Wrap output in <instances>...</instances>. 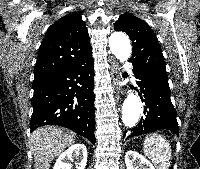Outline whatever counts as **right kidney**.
Returning <instances> with one entry per match:
<instances>
[{
  "mask_svg": "<svg viewBox=\"0 0 200 169\" xmlns=\"http://www.w3.org/2000/svg\"><path fill=\"white\" fill-rule=\"evenodd\" d=\"M73 158H76V169H85L87 163V148L84 144H74L59 155L53 169H71Z\"/></svg>",
  "mask_w": 200,
  "mask_h": 169,
  "instance_id": "right-kidney-1",
  "label": "right kidney"
}]
</instances>
